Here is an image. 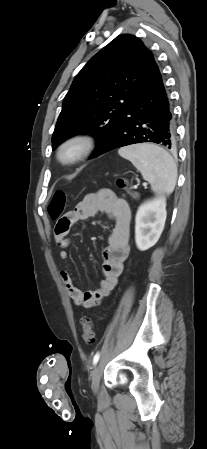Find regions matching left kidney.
<instances>
[{"label": "left kidney", "mask_w": 207, "mask_h": 449, "mask_svg": "<svg viewBox=\"0 0 207 449\" xmlns=\"http://www.w3.org/2000/svg\"><path fill=\"white\" fill-rule=\"evenodd\" d=\"M166 199L154 198L143 203L135 218V241L140 251L154 246L159 240L166 221Z\"/></svg>", "instance_id": "obj_1"}]
</instances>
